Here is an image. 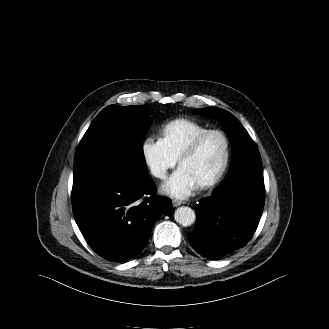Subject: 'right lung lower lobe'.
I'll return each mask as SVG.
<instances>
[{
    "label": "right lung lower lobe",
    "mask_w": 329,
    "mask_h": 329,
    "mask_svg": "<svg viewBox=\"0 0 329 329\" xmlns=\"http://www.w3.org/2000/svg\"><path fill=\"white\" fill-rule=\"evenodd\" d=\"M155 192L149 175L137 183L93 175L73 184L74 219L97 254L123 262L142 251L156 220L172 208L169 199ZM146 195L151 196L137 204Z\"/></svg>",
    "instance_id": "obj_1"
}]
</instances>
